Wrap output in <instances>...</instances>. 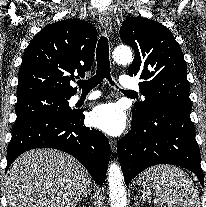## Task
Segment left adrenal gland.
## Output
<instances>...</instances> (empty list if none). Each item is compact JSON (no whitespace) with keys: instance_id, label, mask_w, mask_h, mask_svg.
Returning a JSON list of instances; mask_svg holds the SVG:
<instances>
[{"instance_id":"left-adrenal-gland-1","label":"left adrenal gland","mask_w":206,"mask_h":207,"mask_svg":"<svg viewBox=\"0 0 206 207\" xmlns=\"http://www.w3.org/2000/svg\"><path fill=\"white\" fill-rule=\"evenodd\" d=\"M138 204V197L136 196L135 197V205H137Z\"/></svg>"}]
</instances>
